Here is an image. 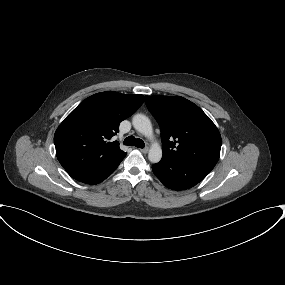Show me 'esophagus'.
<instances>
[{
    "label": "esophagus",
    "instance_id": "34e87169",
    "mask_svg": "<svg viewBox=\"0 0 285 285\" xmlns=\"http://www.w3.org/2000/svg\"><path fill=\"white\" fill-rule=\"evenodd\" d=\"M140 151L144 154H146L148 151H149V148L148 147H145L143 149H140Z\"/></svg>",
    "mask_w": 285,
    "mask_h": 285
}]
</instances>
